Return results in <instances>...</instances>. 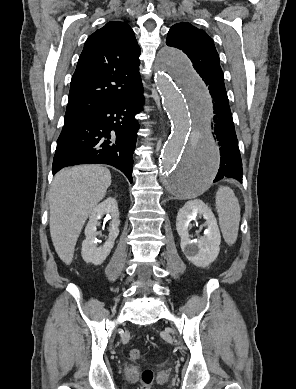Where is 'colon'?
<instances>
[{
	"instance_id": "5ec220e1",
	"label": "colon",
	"mask_w": 296,
	"mask_h": 389,
	"mask_svg": "<svg viewBox=\"0 0 296 389\" xmlns=\"http://www.w3.org/2000/svg\"><path fill=\"white\" fill-rule=\"evenodd\" d=\"M130 358L138 360L141 358V353L138 349H132L129 353ZM154 380V373L151 369H145L141 373L142 389H150V386Z\"/></svg>"
}]
</instances>
